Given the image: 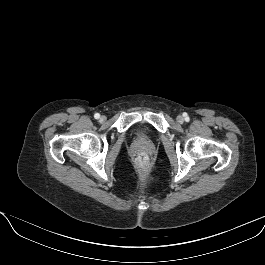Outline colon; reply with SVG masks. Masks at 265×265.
Here are the masks:
<instances>
[{
  "instance_id": "colon-1",
  "label": "colon",
  "mask_w": 265,
  "mask_h": 265,
  "mask_svg": "<svg viewBox=\"0 0 265 265\" xmlns=\"http://www.w3.org/2000/svg\"><path fill=\"white\" fill-rule=\"evenodd\" d=\"M137 162L140 166H146L147 163H148V159L145 155H139L138 158H137Z\"/></svg>"
}]
</instances>
